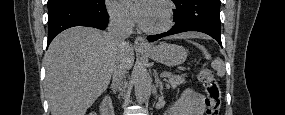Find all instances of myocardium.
<instances>
[{
	"label": "myocardium",
	"instance_id": "1",
	"mask_svg": "<svg viewBox=\"0 0 285 115\" xmlns=\"http://www.w3.org/2000/svg\"><path fill=\"white\" fill-rule=\"evenodd\" d=\"M155 4L163 9L161 23L155 27L144 26L143 29L149 33H162L169 30L174 23V10L170 1L157 0Z\"/></svg>",
	"mask_w": 285,
	"mask_h": 115
}]
</instances>
